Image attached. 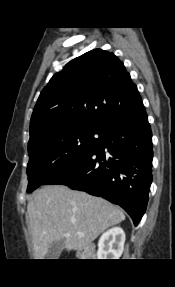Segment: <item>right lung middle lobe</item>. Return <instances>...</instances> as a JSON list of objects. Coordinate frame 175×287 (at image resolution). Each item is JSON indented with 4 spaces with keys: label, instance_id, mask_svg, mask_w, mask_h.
I'll return each instance as SVG.
<instances>
[{
    "label": "right lung middle lobe",
    "instance_id": "1",
    "mask_svg": "<svg viewBox=\"0 0 175 287\" xmlns=\"http://www.w3.org/2000/svg\"><path fill=\"white\" fill-rule=\"evenodd\" d=\"M102 127L81 125L28 144V188L40 185L66 172L84 159L97 145Z\"/></svg>",
    "mask_w": 175,
    "mask_h": 287
}]
</instances>
